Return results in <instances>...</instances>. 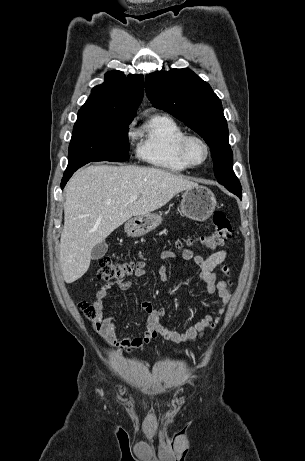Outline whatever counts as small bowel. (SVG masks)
Listing matches in <instances>:
<instances>
[{
  "label": "small bowel",
  "instance_id": "obj_1",
  "mask_svg": "<svg viewBox=\"0 0 305 461\" xmlns=\"http://www.w3.org/2000/svg\"><path fill=\"white\" fill-rule=\"evenodd\" d=\"M178 256L184 260L192 261L198 268L199 278L207 294L216 293L219 296L222 305L218 309V315H213L216 311V307L210 304L207 308L208 313L201 320L189 327L186 331L178 332L168 329L160 323V319L168 315V310L165 307H154L150 302L145 301L142 303V309L146 314L147 327L143 335L118 338L115 333L113 319L103 316V308L107 301L109 291L113 286L112 283H105L96 292L93 305L97 311L95 319L97 331L108 345L114 346L120 351L131 352L145 349L147 345L154 343L158 337H162L176 344L189 343L200 339L204 335L206 329H214L219 324L231 299V288L233 283L231 279L217 282L214 270L220 268L226 276L229 278L231 277L230 269L225 264L227 252L225 250H219L212 253L207 258L184 248H178L176 250L166 249L160 253V258L162 260H174ZM157 272L161 282H168V269L164 264L158 267ZM145 274V263L139 262L134 270V276L140 278ZM116 285L120 290L126 291L132 287V282L129 280H119L116 282Z\"/></svg>",
  "mask_w": 305,
  "mask_h": 461
}]
</instances>
